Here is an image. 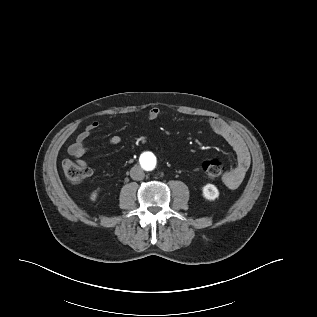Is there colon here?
Wrapping results in <instances>:
<instances>
[{"label": "colon", "instance_id": "1", "mask_svg": "<svg viewBox=\"0 0 317 317\" xmlns=\"http://www.w3.org/2000/svg\"><path fill=\"white\" fill-rule=\"evenodd\" d=\"M201 168L204 175L209 179H216L224 172V164L220 159L206 160L202 163ZM63 171L67 180L72 183H80L91 174V170L87 165L70 160L63 162Z\"/></svg>", "mask_w": 317, "mask_h": 317}]
</instances>
